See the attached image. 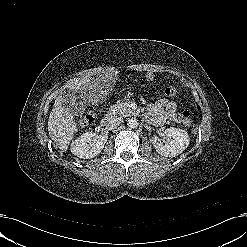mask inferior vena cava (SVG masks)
<instances>
[{
    "label": "inferior vena cava",
    "instance_id": "1",
    "mask_svg": "<svg viewBox=\"0 0 247 247\" xmlns=\"http://www.w3.org/2000/svg\"><path fill=\"white\" fill-rule=\"evenodd\" d=\"M122 122H123V118L108 115V125L109 126H117V125H120Z\"/></svg>",
    "mask_w": 247,
    "mask_h": 247
}]
</instances>
